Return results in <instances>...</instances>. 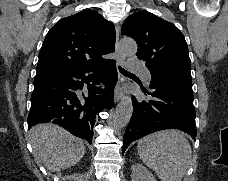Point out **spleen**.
<instances>
[{"label":"spleen","mask_w":228,"mask_h":181,"mask_svg":"<svg viewBox=\"0 0 228 181\" xmlns=\"http://www.w3.org/2000/svg\"><path fill=\"white\" fill-rule=\"evenodd\" d=\"M138 155L161 181H182L190 163L189 141L177 131H159L138 141Z\"/></svg>","instance_id":"spleen-1"}]
</instances>
